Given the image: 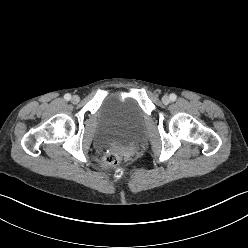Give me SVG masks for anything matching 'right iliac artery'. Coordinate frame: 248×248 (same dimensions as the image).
I'll use <instances>...</instances> for the list:
<instances>
[{
    "label": "right iliac artery",
    "mask_w": 248,
    "mask_h": 248,
    "mask_svg": "<svg viewBox=\"0 0 248 248\" xmlns=\"http://www.w3.org/2000/svg\"><path fill=\"white\" fill-rule=\"evenodd\" d=\"M64 99L67 100V101H69V100L71 99V95L68 94V93L65 94V95H64Z\"/></svg>",
    "instance_id": "82829eb1"
}]
</instances>
